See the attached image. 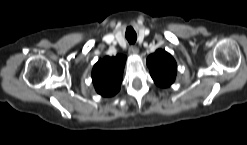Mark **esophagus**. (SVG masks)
<instances>
[{"mask_svg": "<svg viewBox=\"0 0 247 145\" xmlns=\"http://www.w3.org/2000/svg\"><path fill=\"white\" fill-rule=\"evenodd\" d=\"M138 53H139V50H138V48L136 46L132 45V46L129 47V54L136 55Z\"/></svg>", "mask_w": 247, "mask_h": 145, "instance_id": "esophagus-1", "label": "esophagus"}]
</instances>
